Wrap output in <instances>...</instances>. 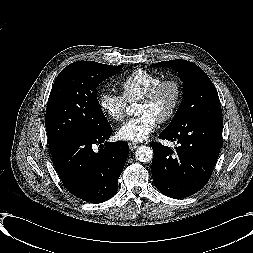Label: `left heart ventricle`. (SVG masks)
I'll return each mask as SVG.
<instances>
[{
	"label": "left heart ventricle",
	"instance_id": "b2bd125f",
	"mask_svg": "<svg viewBox=\"0 0 253 253\" xmlns=\"http://www.w3.org/2000/svg\"><path fill=\"white\" fill-rule=\"evenodd\" d=\"M176 98L175 88L171 85L164 87L158 96L151 102H138L136 114H149L157 121L164 116L172 107Z\"/></svg>",
	"mask_w": 253,
	"mask_h": 253
}]
</instances>
